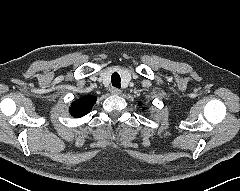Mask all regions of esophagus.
<instances>
[{"mask_svg":"<svg viewBox=\"0 0 240 191\" xmlns=\"http://www.w3.org/2000/svg\"><path fill=\"white\" fill-rule=\"evenodd\" d=\"M110 92L112 95H116V96L122 93L121 90L118 88H111Z\"/></svg>","mask_w":240,"mask_h":191,"instance_id":"esophagus-1","label":"esophagus"}]
</instances>
